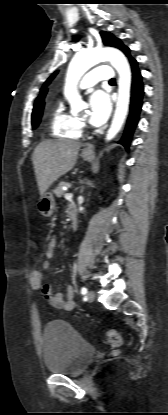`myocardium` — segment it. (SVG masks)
Wrapping results in <instances>:
<instances>
[{
	"instance_id": "myocardium-1",
	"label": "myocardium",
	"mask_w": 168,
	"mask_h": 415,
	"mask_svg": "<svg viewBox=\"0 0 168 415\" xmlns=\"http://www.w3.org/2000/svg\"><path fill=\"white\" fill-rule=\"evenodd\" d=\"M81 123L84 124V120H81Z\"/></svg>"
}]
</instances>
